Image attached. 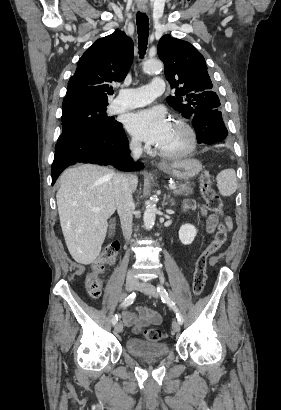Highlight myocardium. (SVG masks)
Wrapping results in <instances>:
<instances>
[{
	"instance_id": "1",
	"label": "myocardium",
	"mask_w": 281,
	"mask_h": 410,
	"mask_svg": "<svg viewBox=\"0 0 281 410\" xmlns=\"http://www.w3.org/2000/svg\"><path fill=\"white\" fill-rule=\"evenodd\" d=\"M172 123L178 125L179 127H181L188 135V143L187 145L179 150V151H174V152H170V151H165L162 150L160 148H157V152L165 158H180V157H184L188 154H190L196 147L197 144V134L195 129L193 128V126L187 122L186 120L182 119V118H175L173 119Z\"/></svg>"
}]
</instances>
